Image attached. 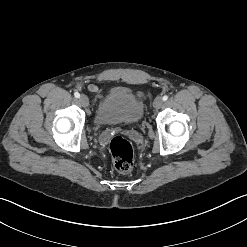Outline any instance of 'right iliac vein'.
<instances>
[{
  "instance_id": "right-iliac-vein-1",
  "label": "right iliac vein",
  "mask_w": 247,
  "mask_h": 247,
  "mask_svg": "<svg viewBox=\"0 0 247 247\" xmlns=\"http://www.w3.org/2000/svg\"><path fill=\"white\" fill-rule=\"evenodd\" d=\"M79 101H80V103H81L84 107H87L88 104H89V100H88L87 96H85V95H81L80 98H79Z\"/></svg>"
}]
</instances>
